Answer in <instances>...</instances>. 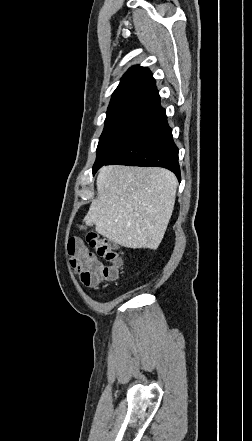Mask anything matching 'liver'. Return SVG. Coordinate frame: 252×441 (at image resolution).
Wrapping results in <instances>:
<instances>
[{"mask_svg": "<svg viewBox=\"0 0 252 441\" xmlns=\"http://www.w3.org/2000/svg\"><path fill=\"white\" fill-rule=\"evenodd\" d=\"M96 185L84 221L123 247L156 249L174 209L176 176L164 168L110 165L99 170Z\"/></svg>", "mask_w": 252, "mask_h": 441, "instance_id": "liver-1", "label": "liver"}]
</instances>
